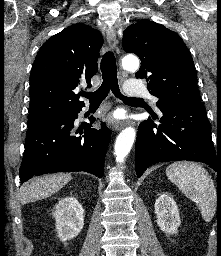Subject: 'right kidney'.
Returning a JSON list of instances; mask_svg holds the SVG:
<instances>
[{"label":"right kidney","instance_id":"obj_1","mask_svg":"<svg viewBox=\"0 0 221 256\" xmlns=\"http://www.w3.org/2000/svg\"><path fill=\"white\" fill-rule=\"evenodd\" d=\"M84 209L75 197H65L56 205V231L62 242L76 237L84 226Z\"/></svg>","mask_w":221,"mask_h":256}]
</instances>
